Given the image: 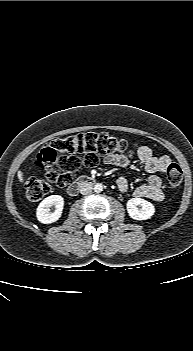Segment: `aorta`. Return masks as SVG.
<instances>
[{"label": "aorta", "instance_id": "1", "mask_svg": "<svg viewBox=\"0 0 193 351\" xmlns=\"http://www.w3.org/2000/svg\"><path fill=\"white\" fill-rule=\"evenodd\" d=\"M93 189L96 193H100L103 191V185L101 183H97L94 185Z\"/></svg>", "mask_w": 193, "mask_h": 351}]
</instances>
